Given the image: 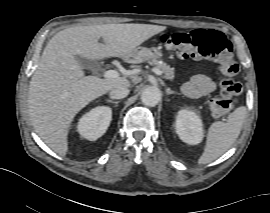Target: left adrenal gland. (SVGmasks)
Returning <instances> with one entry per match:
<instances>
[{"instance_id":"1","label":"left adrenal gland","mask_w":270,"mask_h":213,"mask_svg":"<svg viewBox=\"0 0 270 213\" xmlns=\"http://www.w3.org/2000/svg\"><path fill=\"white\" fill-rule=\"evenodd\" d=\"M165 92H166L167 95H170V94H180L178 92H175V91L171 90L170 88H166Z\"/></svg>"}]
</instances>
